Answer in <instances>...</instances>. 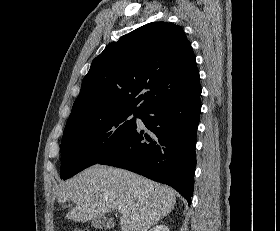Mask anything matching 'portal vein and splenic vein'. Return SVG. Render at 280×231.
Returning a JSON list of instances; mask_svg holds the SVG:
<instances>
[{"label":"portal vein and splenic vein","instance_id":"18ae733b","mask_svg":"<svg viewBox=\"0 0 280 231\" xmlns=\"http://www.w3.org/2000/svg\"><path fill=\"white\" fill-rule=\"evenodd\" d=\"M117 209H118V211H120V213H122V211H125V207H120V205H119V207H117Z\"/></svg>","mask_w":280,"mask_h":231}]
</instances>
